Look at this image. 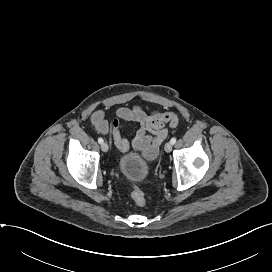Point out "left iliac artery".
Wrapping results in <instances>:
<instances>
[{
    "label": "left iliac artery",
    "mask_w": 272,
    "mask_h": 272,
    "mask_svg": "<svg viewBox=\"0 0 272 272\" xmlns=\"http://www.w3.org/2000/svg\"><path fill=\"white\" fill-rule=\"evenodd\" d=\"M170 143H171L172 145L175 144V143H176V138H175V137L171 138Z\"/></svg>",
    "instance_id": "obj_1"
}]
</instances>
